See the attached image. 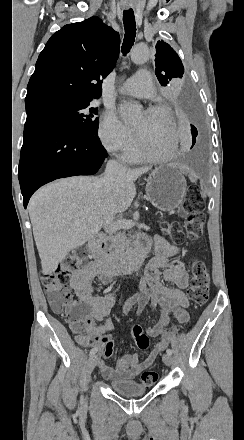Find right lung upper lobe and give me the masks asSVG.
<instances>
[{
  "label": "right lung upper lobe",
  "instance_id": "cb5924a9",
  "mask_svg": "<svg viewBox=\"0 0 244 440\" xmlns=\"http://www.w3.org/2000/svg\"><path fill=\"white\" fill-rule=\"evenodd\" d=\"M120 37L93 16L52 35L40 53L25 99L58 94L99 98L102 80L115 66Z\"/></svg>",
  "mask_w": 244,
  "mask_h": 440
}]
</instances>
